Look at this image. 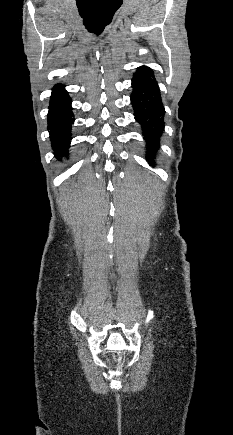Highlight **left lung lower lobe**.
I'll return each mask as SVG.
<instances>
[{"label":"left lung lower lobe","instance_id":"left-lung-lower-lobe-1","mask_svg":"<svg viewBox=\"0 0 233 435\" xmlns=\"http://www.w3.org/2000/svg\"><path fill=\"white\" fill-rule=\"evenodd\" d=\"M132 86L131 102L135 120L141 125L148 153L153 156L158 149L157 141L163 131L165 109L152 69L145 66L137 68Z\"/></svg>","mask_w":233,"mask_h":435}]
</instances>
